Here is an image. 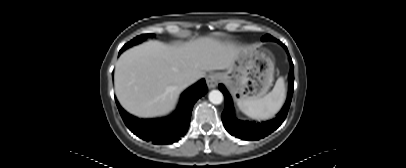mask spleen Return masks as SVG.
<instances>
[{
  "instance_id": "spleen-1",
  "label": "spleen",
  "mask_w": 406,
  "mask_h": 168,
  "mask_svg": "<svg viewBox=\"0 0 406 168\" xmlns=\"http://www.w3.org/2000/svg\"><path fill=\"white\" fill-rule=\"evenodd\" d=\"M285 100L284 79L279 77L271 92L260 99H247L237 102L239 109L248 117L257 120L272 118L282 107Z\"/></svg>"
}]
</instances>
